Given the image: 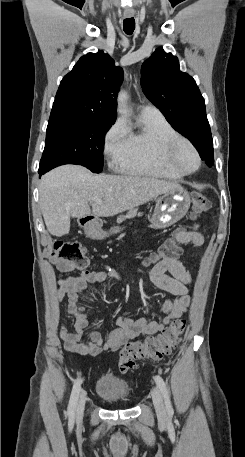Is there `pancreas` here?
<instances>
[{"label":"pancreas","instance_id":"obj_1","mask_svg":"<svg viewBox=\"0 0 245 457\" xmlns=\"http://www.w3.org/2000/svg\"><path fill=\"white\" fill-rule=\"evenodd\" d=\"M133 216H142V212H138V208H129L126 214H120L117 218V222H122V220H126V218H133Z\"/></svg>","mask_w":245,"mask_h":457}]
</instances>
